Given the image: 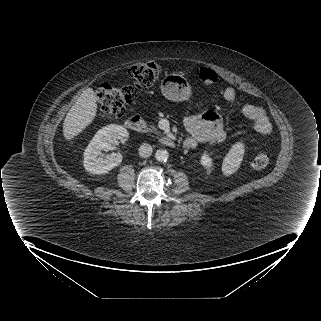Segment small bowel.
I'll return each mask as SVG.
<instances>
[{"label":"small bowel","instance_id":"small-bowel-1","mask_svg":"<svg viewBox=\"0 0 321 321\" xmlns=\"http://www.w3.org/2000/svg\"><path fill=\"white\" fill-rule=\"evenodd\" d=\"M223 95L227 101L238 99L236 90L231 87H227ZM241 113L253 123L257 133L267 134L271 131L270 119L263 108L246 103L241 107ZM183 124L188 133L184 144L190 150L197 149L199 145L209 147L226 140L222 118L214 110H207L198 115H187L183 118ZM255 141V139L250 140L252 143Z\"/></svg>","mask_w":321,"mask_h":321}]
</instances>
